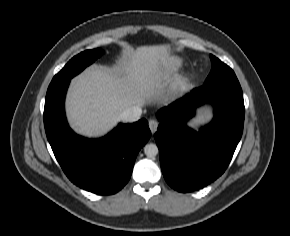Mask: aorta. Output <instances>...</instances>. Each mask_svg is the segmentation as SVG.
Returning a JSON list of instances; mask_svg holds the SVG:
<instances>
[{
  "label": "aorta",
  "instance_id": "1",
  "mask_svg": "<svg viewBox=\"0 0 290 236\" xmlns=\"http://www.w3.org/2000/svg\"><path fill=\"white\" fill-rule=\"evenodd\" d=\"M158 152L159 150L156 144L149 143L144 146V153L147 157H154Z\"/></svg>",
  "mask_w": 290,
  "mask_h": 236
}]
</instances>
